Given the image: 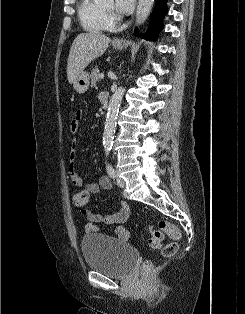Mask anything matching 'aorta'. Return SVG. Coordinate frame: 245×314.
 Masks as SVG:
<instances>
[{
    "instance_id": "obj_1",
    "label": "aorta",
    "mask_w": 245,
    "mask_h": 314,
    "mask_svg": "<svg viewBox=\"0 0 245 314\" xmlns=\"http://www.w3.org/2000/svg\"><path fill=\"white\" fill-rule=\"evenodd\" d=\"M154 0H138V6L136 10V24L139 26L149 16ZM124 88L119 87L110 99L107 117L105 121V128L103 133V146L106 153H109L112 149L113 137L116 128V119L119 112V107L124 95Z\"/></svg>"
}]
</instances>
